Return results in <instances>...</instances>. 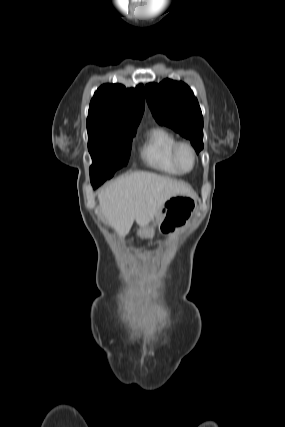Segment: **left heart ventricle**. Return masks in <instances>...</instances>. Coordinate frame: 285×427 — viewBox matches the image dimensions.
I'll return each mask as SVG.
<instances>
[{
  "instance_id": "obj_1",
  "label": "left heart ventricle",
  "mask_w": 285,
  "mask_h": 427,
  "mask_svg": "<svg viewBox=\"0 0 285 427\" xmlns=\"http://www.w3.org/2000/svg\"><path fill=\"white\" fill-rule=\"evenodd\" d=\"M178 159L182 169L184 170L191 169L193 165V156L191 151L187 147H182L179 150Z\"/></svg>"
}]
</instances>
